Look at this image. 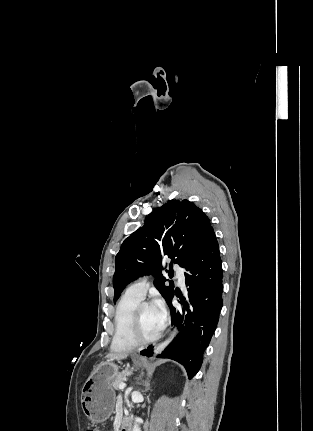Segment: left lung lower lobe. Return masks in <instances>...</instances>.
Instances as JSON below:
<instances>
[{"label": "left lung lower lobe", "instance_id": "0a47b994", "mask_svg": "<svg viewBox=\"0 0 313 431\" xmlns=\"http://www.w3.org/2000/svg\"><path fill=\"white\" fill-rule=\"evenodd\" d=\"M187 297L173 293L167 302L172 324L180 327L179 334L162 352V358L181 363L192 378L199 371L203 353L216 330L222 308L223 272L219 246L211 226L193 259L184 267ZM176 294L183 306L178 310L172 306ZM152 347L141 351L152 355Z\"/></svg>", "mask_w": 313, "mask_h": 431}]
</instances>
